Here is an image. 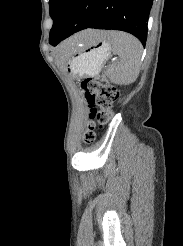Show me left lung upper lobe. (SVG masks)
Returning a JSON list of instances; mask_svg holds the SVG:
<instances>
[{
    "label": "left lung upper lobe",
    "instance_id": "5c2ea615",
    "mask_svg": "<svg viewBox=\"0 0 183 246\" xmlns=\"http://www.w3.org/2000/svg\"><path fill=\"white\" fill-rule=\"evenodd\" d=\"M78 1L79 0H49L50 16L53 19L50 38L55 37L59 33Z\"/></svg>",
    "mask_w": 183,
    "mask_h": 246
}]
</instances>
